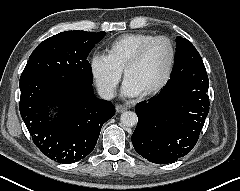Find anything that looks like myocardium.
Here are the masks:
<instances>
[{
  "instance_id": "f54148a6",
  "label": "myocardium",
  "mask_w": 240,
  "mask_h": 191,
  "mask_svg": "<svg viewBox=\"0 0 240 191\" xmlns=\"http://www.w3.org/2000/svg\"><path fill=\"white\" fill-rule=\"evenodd\" d=\"M157 41H165L170 49V59H169V63H168V67L167 70L165 72V75L163 77V79L153 88L141 93V95L143 97H148V96H152L155 95L157 93H159L169 82L172 72H173V68L175 65V60H176V49H175V45L173 43V41L164 35H159V36H154L151 39H149L148 41H146L138 50L137 52L132 56V58L126 63L124 69H123V73L124 76H127L128 71L135 67L136 65H138L142 59L144 58L147 50L149 49V47L157 42Z\"/></svg>"
}]
</instances>
